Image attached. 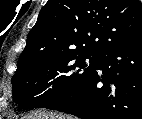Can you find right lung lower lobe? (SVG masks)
<instances>
[{"instance_id": "obj_1", "label": "right lung lower lobe", "mask_w": 142, "mask_h": 119, "mask_svg": "<svg viewBox=\"0 0 142 119\" xmlns=\"http://www.w3.org/2000/svg\"><path fill=\"white\" fill-rule=\"evenodd\" d=\"M47 109L82 119H142V40L100 54L83 83Z\"/></svg>"}]
</instances>
